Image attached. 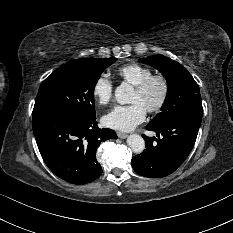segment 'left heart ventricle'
<instances>
[{
    "mask_svg": "<svg viewBox=\"0 0 233 233\" xmlns=\"http://www.w3.org/2000/svg\"><path fill=\"white\" fill-rule=\"evenodd\" d=\"M161 94V87L158 83H154L146 93L138 94L133 92L131 102L140 103L145 109L153 106L159 100Z\"/></svg>",
    "mask_w": 233,
    "mask_h": 233,
    "instance_id": "1",
    "label": "left heart ventricle"
}]
</instances>
